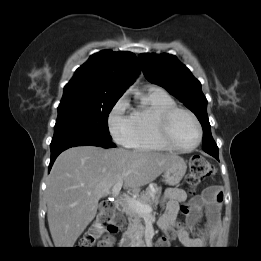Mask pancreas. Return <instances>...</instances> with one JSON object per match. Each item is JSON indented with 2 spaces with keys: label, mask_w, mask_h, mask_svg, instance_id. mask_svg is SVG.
I'll list each match as a JSON object with an SVG mask.
<instances>
[{
  "label": "pancreas",
  "mask_w": 261,
  "mask_h": 261,
  "mask_svg": "<svg viewBox=\"0 0 261 261\" xmlns=\"http://www.w3.org/2000/svg\"><path fill=\"white\" fill-rule=\"evenodd\" d=\"M161 195V187L157 184H152L140 195H138L135 200L154 207L159 202ZM122 211L126 214L128 218V227L124 232L123 237L125 240L131 244L142 243L144 236V225L142 224V214L136 212L129 204L126 202L123 204Z\"/></svg>",
  "instance_id": "obj_1"
}]
</instances>
